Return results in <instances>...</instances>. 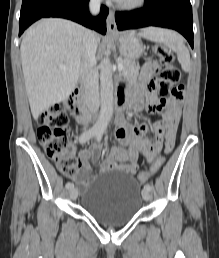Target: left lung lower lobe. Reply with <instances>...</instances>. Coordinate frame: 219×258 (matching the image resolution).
I'll return each mask as SVG.
<instances>
[{"label": "left lung lower lobe", "mask_w": 219, "mask_h": 258, "mask_svg": "<svg viewBox=\"0 0 219 258\" xmlns=\"http://www.w3.org/2000/svg\"><path fill=\"white\" fill-rule=\"evenodd\" d=\"M119 30L147 26L170 28L180 32L193 48V18L190 0H147L146 5L130 12H116Z\"/></svg>", "instance_id": "obj_1"}]
</instances>
